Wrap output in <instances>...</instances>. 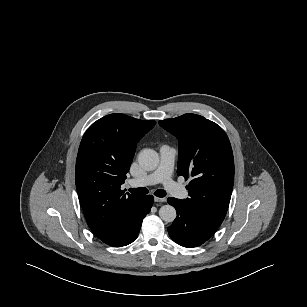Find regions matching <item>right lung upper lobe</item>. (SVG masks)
<instances>
[{
  "instance_id": "1",
  "label": "right lung upper lobe",
  "mask_w": 307,
  "mask_h": 307,
  "mask_svg": "<svg viewBox=\"0 0 307 307\" xmlns=\"http://www.w3.org/2000/svg\"><path fill=\"white\" fill-rule=\"evenodd\" d=\"M124 114L97 120L85 132L76 160V188L86 221L104 243L116 246L132 231L143 196L125 194L137 142L155 125Z\"/></svg>"
}]
</instances>
